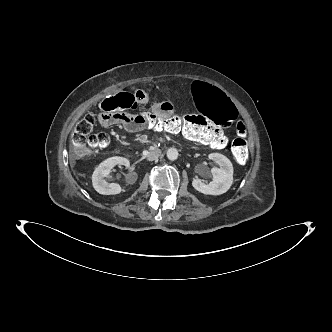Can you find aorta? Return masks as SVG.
I'll list each match as a JSON object with an SVG mask.
<instances>
[{
	"mask_svg": "<svg viewBox=\"0 0 332 332\" xmlns=\"http://www.w3.org/2000/svg\"><path fill=\"white\" fill-rule=\"evenodd\" d=\"M167 158L174 161L178 158V150L176 148H169L167 150Z\"/></svg>",
	"mask_w": 332,
	"mask_h": 332,
	"instance_id": "762f6f07",
	"label": "aorta"
}]
</instances>
